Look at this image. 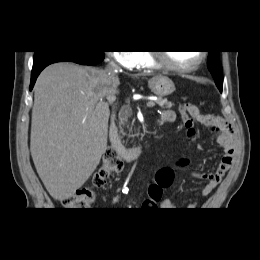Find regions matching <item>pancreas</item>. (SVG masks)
Returning <instances> with one entry per match:
<instances>
[{
    "label": "pancreas",
    "mask_w": 260,
    "mask_h": 260,
    "mask_svg": "<svg viewBox=\"0 0 260 260\" xmlns=\"http://www.w3.org/2000/svg\"><path fill=\"white\" fill-rule=\"evenodd\" d=\"M156 103L161 108H165V109H170L174 105L172 102L168 101L167 99H162V98L157 99ZM131 114L132 111L130 107L124 106L119 114V125L120 126L124 125L127 122L128 118L131 116Z\"/></svg>",
    "instance_id": "cf45deb5"
}]
</instances>
